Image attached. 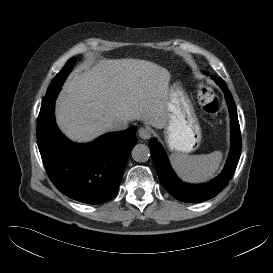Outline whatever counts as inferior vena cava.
Here are the masks:
<instances>
[{"instance_id":"602c4592","label":"inferior vena cava","mask_w":273,"mask_h":273,"mask_svg":"<svg viewBox=\"0 0 273 273\" xmlns=\"http://www.w3.org/2000/svg\"><path fill=\"white\" fill-rule=\"evenodd\" d=\"M127 121H115L109 126V131H120L127 127Z\"/></svg>"}]
</instances>
